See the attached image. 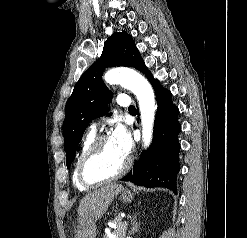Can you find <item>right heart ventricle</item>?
Returning <instances> with one entry per match:
<instances>
[{
    "label": "right heart ventricle",
    "mask_w": 247,
    "mask_h": 238,
    "mask_svg": "<svg viewBox=\"0 0 247 238\" xmlns=\"http://www.w3.org/2000/svg\"><path fill=\"white\" fill-rule=\"evenodd\" d=\"M95 139V133L94 132H89L87 134V136L85 137L83 143H82V146H81V149L77 155V158H76V161H75V164H74V167H73V172H72V181H73V184L74 186L79 189V190H87L89 189L90 187H87L85 185H83L79 179H78V175H77V168H78V164H79V161L82 157V155L84 154V152L87 150V148L90 146V144L93 142V140Z\"/></svg>",
    "instance_id": "1"
}]
</instances>
